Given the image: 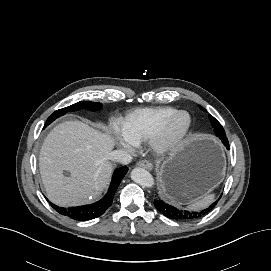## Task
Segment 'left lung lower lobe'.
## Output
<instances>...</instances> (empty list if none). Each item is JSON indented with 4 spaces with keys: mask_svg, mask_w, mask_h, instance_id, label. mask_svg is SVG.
I'll return each mask as SVG.
<instances>
[{
    "mask_svg": "<svg viewBox=\"0 0 271 271\" xmlns=\"http://www.w3.org/2000/svg\"><path fill=\"white\" fill-rule=\"evenodd\" d=\"M221 140H222V143L227 147V149H229V143H228L226 136L222 137ZM218 200L216 202H214L213 204H211L209 207H207L203 210H200V211H181V210L173 207L170 204H167L166 202H164L163 200H160V199L154 200V205L159 210V212H161L164 216H166L169 219L195 220V219L203 217L208 212H210L215 207Z\"/></svg>",
    "mask_w": 271,
    "mask_h": 271,
    "instance_id": "left-lung-lower-lobe-1",
    "label": "left lung lower lobe"
}]
</instances>
